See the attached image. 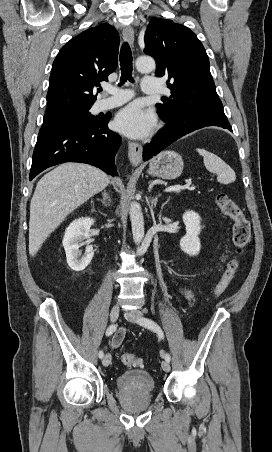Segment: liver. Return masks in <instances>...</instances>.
<instances>
[{"instance_id": "1", "label": "liver", "mask_w": 272, "mask_h": 452, "mask_svg": "<svg viewBox=\"0 0 272 452\" xmlns=\"http://www.w3.org/2000/svg\"><path fill=\"white\" fill-rule=\"evenodd\" d=\"M109 184L99 168L69 162L46 173L37 183L30 204L29 254L36 255L65 218Z\"/></svg>"}]
</instances>
